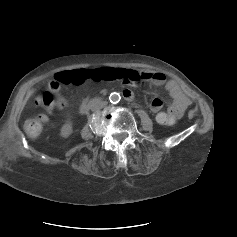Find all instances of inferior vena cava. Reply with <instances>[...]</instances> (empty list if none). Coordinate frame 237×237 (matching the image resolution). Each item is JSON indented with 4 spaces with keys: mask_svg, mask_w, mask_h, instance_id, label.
Masks as SVG:
<instances>
[{
    "mask_svg": "<svg viewBox=\"0 0 237 237\" xmlns=\"http://www.w3.org/2000/svg\"><path fill=\"white\" fill-rule=\"evenodd\" d=\"M106 105H107L106 101L96 100V101L91 103L90 108H91L92 111H97V110L102 109Z\"/></svg>",
    "mask_w": 237,
    "mask_h": 237,
    "instance_id": "inferior-vena-cava-1",
    "label": "inferior vena cava"
}]
</instances>
